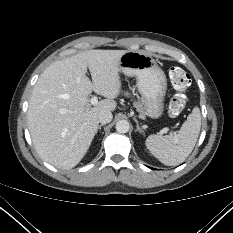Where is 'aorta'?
Returning a JSON list of instances; mask_svg holds the SVG:
<instances>
[{
    "label": "aorta",
    "mask_w": 233,
    "mask_h": 233,
    "mask_svg": "<svg viewBox=\"0 0 233 233\" xmlns=\"http://www.w3.org/2000/svg\"><path fill=\"white\" fill-rule=\"evenodd\" d=\"M130 125L129 122L126 120H119L116 123V130L119 133H127L129 131Z\"/></svg>",
    "instance_id": "aorta-1"
}]
</instances>
